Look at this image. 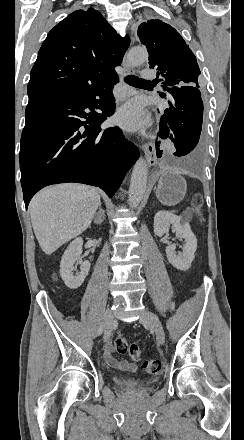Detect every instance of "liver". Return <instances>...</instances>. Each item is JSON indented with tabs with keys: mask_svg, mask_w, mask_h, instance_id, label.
I'll list each match as a JSON object with an SVG mask.
<instances>
[{
	"mask_svg": "<svg viewBox=\"0 0 244 440\" xmlns=\"http://www.w3.org/2000/svg\"><path fill=\"white\" fill-rule=\"evenodd\" d=\"M98 206L100 196L95 188L82 184H58L38 192L30 202V218L44 254H53L85 232Z\"/></svg>",
	"mask_w": 244,
	"mask_h": 440,
	"instance_id": "1",
	"label": "liver"
}]
</instances>
